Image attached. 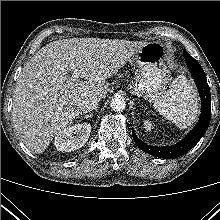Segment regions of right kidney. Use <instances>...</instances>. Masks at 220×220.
<instances>
[{"label": "right kidney", "mask_w": 220, "mask_h": 220, "mask_svg": "<svg viewBox=\"0 0 220 220\" xmlns=\"http://www.w3.org/2000/svg\"><path fill=\"white\" fill-rule=\"evenodd\" d=\"M90 132V124H76L60 131L54 138V145L57 151L61 152H71L80 149L88 141Z\"/></svg>", "instance_id": "right-kidney-1"}]
</instances>
